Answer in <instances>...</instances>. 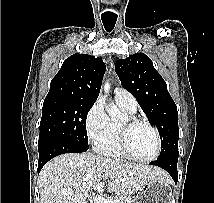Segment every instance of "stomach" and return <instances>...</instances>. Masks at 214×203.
<instances>
[{
    "mask_svg": "<svg viewBox=\"0 0 214 203\" xmlns=\"http://www.w3.org/2000/svg\"><path fill=\"white\" fill-rule=\"evenodd\" d=\"M172 188L163 177L147 182L135 197V203H171Z\"/></svg>",
    "mask_w": 214,
    "mask_h": 203,
    "instance_id": "0dacf381",
    "label": "stomach"
}]
</instances>
